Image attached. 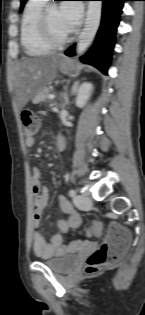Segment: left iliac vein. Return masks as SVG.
Returning a JSON list of instances; mask_svg holds the SVG:
<instances>
[{"label": "left iliac vein", "mask_w": 145, "mask_h": 315, "mask_svg": "<svg viewBox=\"0 0 145 315\" xmlns=\"http://www.w3.org/2000/svg\"><path fill=\"white\" fill-rule=\"evenodd\" d=\"M74 203L75 205L80 209H86L91 206L92 200L91 198L86 194H79L74 197Z\"/></svg>", "instance_id": "4c4485c4"}]
</instances>
